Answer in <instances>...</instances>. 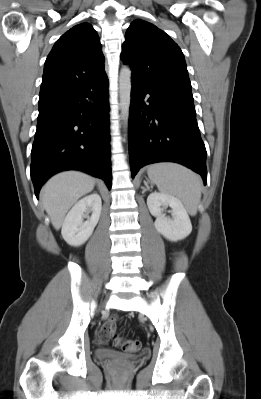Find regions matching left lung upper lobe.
I'll return each mask as SVG.
<instances>
[{"instance_id": "left-lung-upper-lobe-1", "label": "left lung upper lobe", "mask_w": 261, "mask_h": 399, "mask_svg": "<svg viewBox=\"0 0 261 399\" xmlns=\"http://www.w3.org/2000/svg\"><path fill=\"white\" fill-rule=\"evenodd\" d=\"M121 59L132 77L151 86L191 93L187 66L180 47L155 25L135 20L127 29Z\"/></svg>"}]
</instances>
